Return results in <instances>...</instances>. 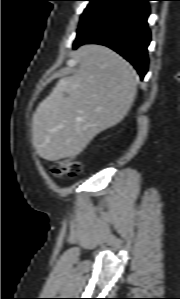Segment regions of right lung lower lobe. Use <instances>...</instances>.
Returning a JSON list of instances; mask_svg holds the SVG:
<instances>
[{"mask_svg":"<svg viewBox=\"0 0 180 299\" xmlns=\"http://www.w3.org/2000/svg\"><path fill=\"white\" fill-rule=\"evenodd\" d=\"M148 1L107 0L80 21L74 48L86 43L108 46L129 61L143 79L151 40Z\"/></svg>","mask_w":180,"mask_h":299,"instance_id":"1","label":"right lung lower lobe"}]
</instances>
